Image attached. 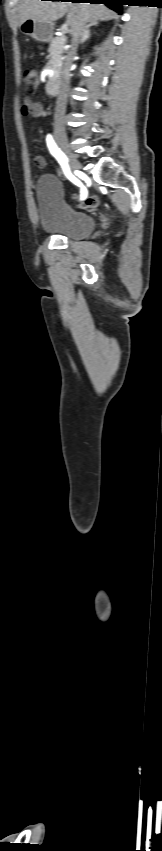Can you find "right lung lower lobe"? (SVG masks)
<instances>
[{"label": "right lung lower lobe", "instance_id": "98d812e1", "mask_svg": "<svg viewBox=\"0 0 162 851\" xmlns=\"http://www.w3.org/2000/svg\"><path fill=\"white\" fill-rule=\"evenodd\" d=\"M54 1H63V0H54ZM71 2H88L91 4H106L109 8L114 11L121 13V6L127 2V0H70Z\"/></svg>", "mask_w": 162, "mask_h": 851}]
</instances>
